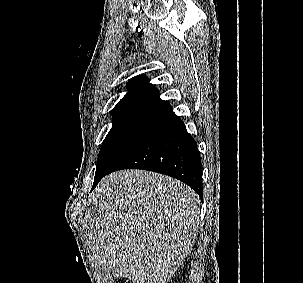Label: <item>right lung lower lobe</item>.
I'll list each match as a JSON object with an SVG mask.
<instances>
[{"mask_svg":"<svg viewBox=\"0 0 303 283\" xmlns=\"http://www.w3.org/2000/svg\"><path fill=\"white\" fill-rule=\"evenodd\" d=\"M121 169L162 173L189 185L199 196L203 194L202 165L197 143L172 109L157 117L105 175Z\"/></svg>","mask_w":303,"mask_h":283,"instance_id":"obj_1","label":"right lung lower lobe"}]
</instances>
